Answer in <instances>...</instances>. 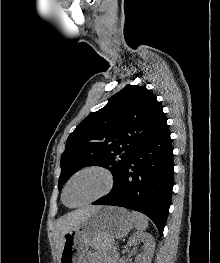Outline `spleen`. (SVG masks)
<instances>
[{
	"label": "spleen",
	"mask_w": 220,
	"mask_h": 263,
	"mask_svg": "<svg viewBox=\"0 0 220 263\" xmlns=\"http://www.w3.org/2000/svg\"><path fill=\"white\" fill-rule=\"evenodd\" d=\"M131 215H132V218L134 220L135 228L138 231L141 232L148 227V221L142 214H140L138 212H132Z\"/></svg>",
	"instance_id": "1"
}]
</instances>
